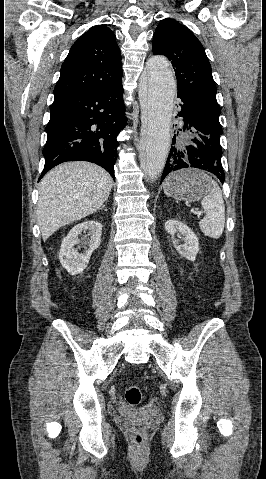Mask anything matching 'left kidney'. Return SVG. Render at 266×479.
Listing matches in <instances>:
<instances>
[{"label":"left kidney","mask_w":266,"mask_h":479,"mask_svg":"<svg viewBox=\"0 0 266 479\" xmlns=\"http://www.w3.org/2000/svg\"><path fill=\"white\" fill-rule=\"evenodd\" d=\"M165 229L172 236L175 245L178 244V240L174 239L175 234L184 240V244L178 245L177 249L187 260L194 261L199 251V242L195 233L187 225L174 219L165 223Z\"/></svg>","instance_id":"obj_1"}]
</instances>
